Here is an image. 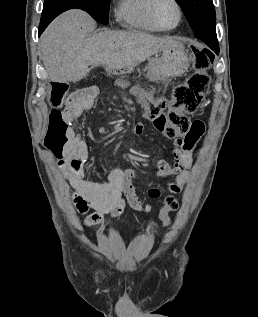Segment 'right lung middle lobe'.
Instances as JSON below:
<instances>
[{"label":"right lung middle lobe","instance_id":"obj_1","mask_svg":"<svg viewBox=\"0 0 258 317\" xmlns=\"http://www.w3.org/2000/svg\"><path fill=\"white\" fill-rule=\"evenodd\" d=\"M91 9L94 10L93 18L100 23L108 24V11L110 0H88Z\"/></svg>","mask_w":258,"mask_h":317}]
</instances>
